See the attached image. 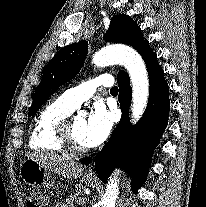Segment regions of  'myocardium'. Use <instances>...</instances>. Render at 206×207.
Wrapping results in <instances>:
<instances>
[{
    "instance_id": "obj_1",
    "label": "myocardium",
    "mask_w": 206,
    "mask_h": 207,
    "mask_svg": "<svg viewBox=\"0 0 206 207\" xmlns=\"http://www.w3.org/2000/svg\"><path fill=\"white\" fill-rule=\"evenodd\" d=\"M75 118V116L69 115L58 124L56 128L57 141L64 151L72 154H83L86 153L89 148L78 145L73 138L72 125Z\"/></svg>"
}]
</instances>
